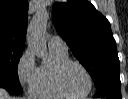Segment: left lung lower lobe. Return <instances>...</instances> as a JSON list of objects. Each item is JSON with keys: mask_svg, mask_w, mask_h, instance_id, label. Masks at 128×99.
<instances>
[{"mask_svg": "<svg viewBox=\"0 0 128 99\" xmlns=\"http://www.w3.org/2000/svg\"><path fill=\"white\" fill-rule=\"evenodd\" d=\"M94 97H106L109 99H121L120 79H110L103 82L98 88Z\"/></svg>", "mask_w": 128, "mask_h": 99, "instance_id": "obj_1", "label": "left lung lower lobe"}]
</instances>
